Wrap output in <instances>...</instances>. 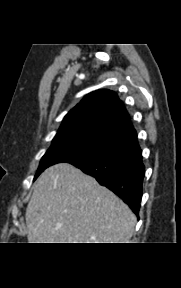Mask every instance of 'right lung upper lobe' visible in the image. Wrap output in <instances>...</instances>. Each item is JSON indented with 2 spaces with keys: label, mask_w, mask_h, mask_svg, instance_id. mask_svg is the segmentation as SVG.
<instances>
[{
  "label": "right lung upper lobe",
  "mask_w": 181,
  "mask_h": 288,
  "mask_svg": "<svg viewBox=\"0 0 181 288\" xmlns=\"http://www.w3.org/2000/svg\"><path fill=\"white\" fill-rule=\"evenodd\" d=\"M81 139L116 154L138 145L129 114L110 90L88 94L63 119L54 140Z\"/></svg>",
  "instance_id": "obj_1"
}]
</instances>
